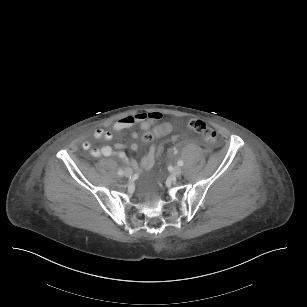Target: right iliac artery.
<instances>
[{"label": "right iliac artery", "instance_id": "1", "mask_svg": "<svg viewBox=\"0 0 307 307\" xmlns=\"http://www.w3.org/2000/svg\"><path fill=\"white\" fill-rule=\"evenodd\" d=\"M118 174H119L120 176H123V175H124V171H123L122 169H119V170H118Z\"/></svg>", "mask_w": 307, "mask_h": 307}]
</instances>
